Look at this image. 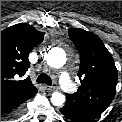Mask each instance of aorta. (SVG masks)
Returning <instances> with one entry per match:
<instances>
[{"label":"aorta","mask_w":122,"mask_h":122,"mask_svg":"<svg viewBox=\"0 0 122 122\" xmlns=\"http://www.w3.org/2000/svg\"><path fill=\"white\" fill-rule=\"evenodd\" d=\"M47 63L53 68H61L66 63V54L60 48H54L47 55ZM51 102L54 106H61L65 102V95L60 92H53Z\"/></svg>","instance_id":"762f6f07"}]
</instances>
